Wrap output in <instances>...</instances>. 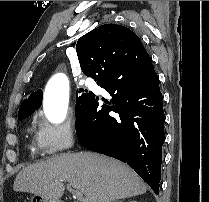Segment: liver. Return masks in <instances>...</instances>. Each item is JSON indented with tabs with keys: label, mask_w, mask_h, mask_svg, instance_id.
I'll return each mask as SVG.
<instances>
[{
	"label": "liver",
	"mask_w": 209,
	"mask_h": 202,
	"mask_svg": "<svg viewBox=\"0 0 209 202\" xmlns=\"http://www.w3.org/2000/svg\"><path fill=\"white\" fill-rule=\"evenodd\" d=\"M80 190L85 202H111L144 194L146 185L124 163L91 152L63 153L23 168L13 190L59 200L63 182Z\"/></svg>",
	"instance_id": "1"
}]
</instances>
